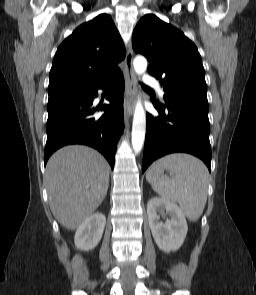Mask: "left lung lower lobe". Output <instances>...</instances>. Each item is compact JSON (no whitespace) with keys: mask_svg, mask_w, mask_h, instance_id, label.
Instances as JSON below:
<instances>
[{"mask_svg":"<svg viewBox=\"0 0 256 295\" xmlns=\"http://www.w3.org/2000/svg\"><path fill=\"white\" fill-rule=\"evenodd\" d=\"M154 118L147 113V129L142 172L156 159L170 153L185 152L202 159L211 171L210 125L208 110L185 104L159 105Z\"/></svg>","mask_w":256,"mask_h":295,"instance_id":"0a47b994","label":"left lung lower lobe"}]
</instances>
